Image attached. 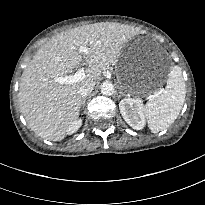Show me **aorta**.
Here are the masks:
<instances>
[{
  "mask_svg": "<svg viewBox=\"0 0 205 205\" xmlns=\"http://www.w3.org/2000/svg\"><path fill=\"white\" fill-rule=\"evenodd\" d=\"M115 91L114 85L110 81H105L101 85V93L105 96H111Z\"/></svg>",
  "mask_w": 205,
  "mask_h": 205,
  "instance_id": "obj_1",
  "label": "aorta"
}]
</instances>
